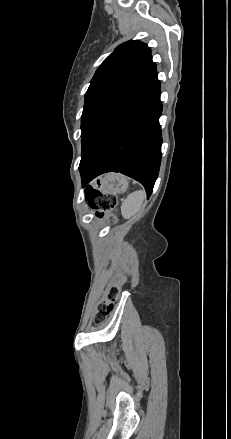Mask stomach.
I'll return each mask as SVG.
<instances>
[{"instance_id": "stomach-1", "label": "stomach", "mask_w": 231, "mask_h": 439, "mask_svg": "<svg viewBox=\"0 0 231 439\" xmlns=\"http://www.w3.org/2000/svg\"><path fill=\"white\" fill-rule=\"evenodd\" d=\"M100 188L105 193L120 194L128 188V180L120 174L110 173L100 178Z\"/></svg>"}]
</instances>
